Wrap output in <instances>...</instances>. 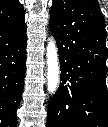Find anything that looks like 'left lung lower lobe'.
<instances>
[{
  "instance_id": "left-lung-lower-lobe-1",
  "label": "left lung lower lobe",
  "mask_w": 108,
  "mask_h": 127,
  "mask_svg": "<svg viewBox=\"0 0 108 127\" xmlns=\"http://www.w3.org/2000/svg\"><path fill=\"white\" fill-rule=\"evenodd\" d=\"M50 29L62 83L49 102L47 126L108 127L107 35L97 0H53ZM72 64L76 84L66 74Z\"/></svg>"
}]
</instances>
